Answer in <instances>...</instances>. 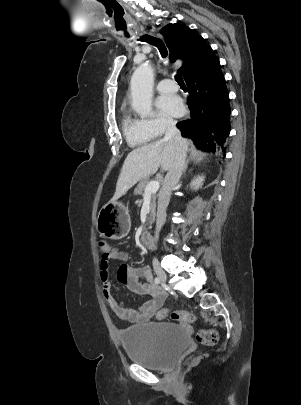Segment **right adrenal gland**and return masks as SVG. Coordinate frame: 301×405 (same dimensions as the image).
I'll return each mask as SVG.
<instances>
[{
  "mask_svg": "<svg viewBox=\"0 0 301 405\" xmlns=\"http://www.w3.org/2000/svg\"><path fill=\"white\" fill-rule=\"evenodd\" d=\"M187 166L185 167L184 173L186 172Z\"/></svg>",
  "mask_w": 301,
  "mask_h": 405,
  "instance_id": "obj_1",
  "label": "right adrenal gland"
}]
</instances>
